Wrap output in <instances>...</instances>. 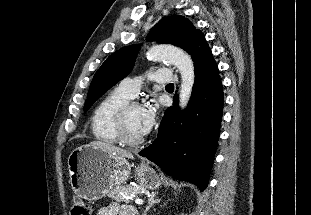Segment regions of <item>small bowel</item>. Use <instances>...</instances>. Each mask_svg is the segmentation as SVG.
Wrapping results in <instances>:
<instances>
[{
	"instance_id": "small-bowel-1",
	"label": "small bowel",
	"mask_w": 311,
	"mask_h": 215,
	"mask_svg": "<svg viewBox=\"0 0 311 215\" xmlns=\"http://www.w3.org/2000/svg\"><path fill=\"white\" fill-rule=\"evenodd\" d=\"M136 210L129 205H119L116 202H112L107 206L99 209L97 215H136Z\"/></svg>"
}]
</instances>
